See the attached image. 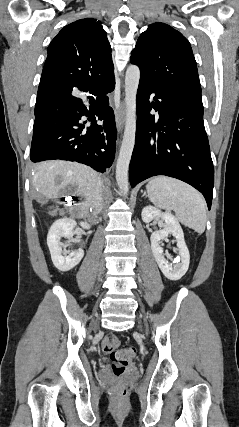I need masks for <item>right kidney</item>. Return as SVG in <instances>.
<instances>
[{
	"label": "right kidney",
	"instance_id": "ca27d5eb",
	"mask_svg": "<svg viewBox=\"0 0 239 427\" xmlns=\"http://www.w3.org/2000/svg\"><path fill=\"white\" fill-rule=\"evenodd\" d=\"M83 229H89L90 226L86 222H80ZM77 222L71 218H61L53 223L47 235V244L51 254V259L54 266L60 271H69L80 263L84 257L83 249L75 250L67 255L65 247L61 243V238H70L74 235V228ZM64 247V250H62Z\"/></svg>",
	"mask_w": 239,
	"mask_h": 427
}]
</instances>
